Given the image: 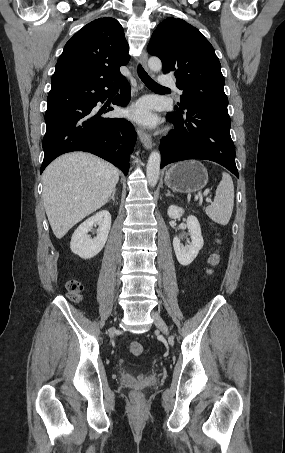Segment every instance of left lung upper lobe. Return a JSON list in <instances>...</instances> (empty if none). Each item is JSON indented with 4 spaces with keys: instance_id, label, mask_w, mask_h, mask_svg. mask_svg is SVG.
<instances>
[{
    "instance_id": "1",
    "label": "left lung upper lobe",
    "mask_w": 285,
    "mask_h": 453,
    "mask_svg": "<svg viewBox=\"0 0 285 453\" xmlns=\"http://www.w3.org/2000/svg\"><path fill=\"white\" fill-rule=\"evenodd\" d=\"M162 61L164 73H172L183 91L181 103L217 105L227 108L224 77L214 48L203 34L179 18L164 19L153 32L147 47Z\"/></svg>"
}]
</instances>
